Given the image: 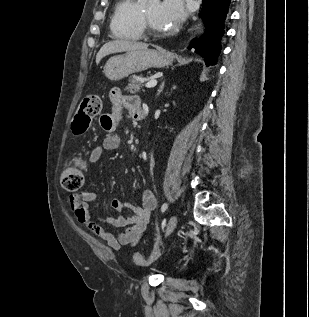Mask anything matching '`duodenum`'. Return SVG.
<instances>
[{
    "mask_svg": "<svg viewBox=\"0 0 309 317\" xmlns=\"http://www.w3.org/2000/svg\"><path fill=\"white\" fill-rule=\"evenodd\" d=\"M139 118H140V119H143V118H144V112H143V111H142L141 114L139 115Z\"/></svg>",
    "mask_w": 309,
    "mask_h": 317,
    "instance_id": "obj_1",
    "label": "duodenum"
}]
</instances>
